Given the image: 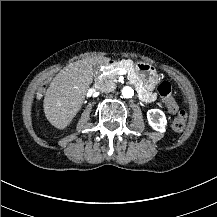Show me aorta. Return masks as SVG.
Instances as JSON below:
<instances>
[{
  "label": "aorta",
  "mask_w": 217,
  "mask_h": 217,
  "mask_svg": "<svg viewBox=\"0 0 217 217\" xmlns=\"http://www.w3.org/2000/svg\"><path fill=\"white\" fill-rule=\"evenodd\" d=\"M122 95L124 98H132L134 95V90L130 86H125L122 89Z\"/></svg>",
  "instance_id": "1"
}]
</instances>
